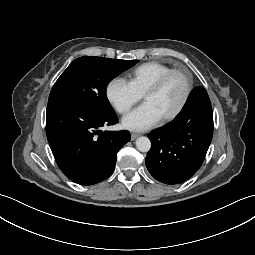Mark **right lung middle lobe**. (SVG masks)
Here are the masks:
<instances>
[{
  "mask_svg": "<svg viewBox=\"0 0 255 255\" xmlns=\"http://www.w3.org/2000/svg\"><path fill=\"white\" fill-rule=\"evenodd\" d=\"M139 60L83 56L74 60L54 84L48 104L71 103L100 114L114 113L106 96L109 82Z\"/></svg>",
  "mask_w": 255,
  "mask_h": 255,
  "instance_id": "dd1d6c3e",
  "label": "right lung middle lobe"
}]
</instances>
